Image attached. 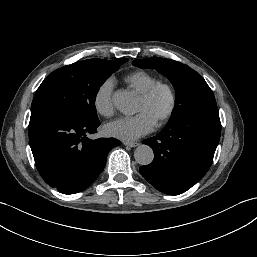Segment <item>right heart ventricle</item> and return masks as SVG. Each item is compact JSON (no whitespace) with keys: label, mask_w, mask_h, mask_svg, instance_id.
I'll return each mask as SVG.
<instances>
[{"label":"right heart ventricle","mask_w":257,"mask_h":257,"mask_svg":"<svg viewBox=\"0 0 257 257\" xmlns=\"http://www.w3.org/2000/svg\"><path fill=\"white\" fill-rule=\"evenodd\" d=\"M124 82L131 90L140 95L158 82V79L149 72L139 70L127 75Z\"/></svg>","instance_id":"right-heart-ventricle-1"}]
</instances>
